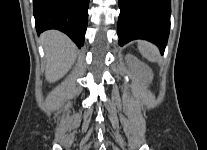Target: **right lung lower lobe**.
<instances>
[{"instance_id":"right-lung-lower-lobe-1","label":"right lung lower lobe","mask_w":207,"mask_h":150,"mask_svg":"<svg viewBox=\"0 0 207 150\" xmlns=\"http://www.w3.org/2000/svg\"><path fill=\"white\" fill-rule=\"evenodd\" d=\"M89 0H33L37 33L58 29L81 48L88 21Z\"/></svg>"}]
</instances>
